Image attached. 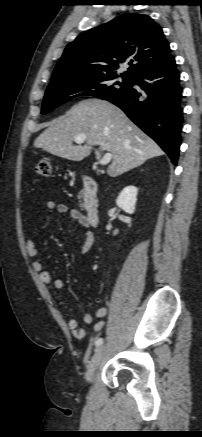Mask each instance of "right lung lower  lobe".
<instances>
[{
  "instance_id": "1",
  "label": "right lung lower lobe",
  "mask_w": 202,
  "mask_h": 437,
  "mask_svg": "<svg viewBox=\"0 0 202 437\" xmlns=\"http://www.w3.org/2000/svg\"><path fill=\"white\" fill-rule=\"evenodd\" d=\"M140 86L142 91L132 86ZM153 138L176 164L183 127L182 87L174 57L136 74L129 90L107 99Z\"/></svg>"
}]
</instances>
